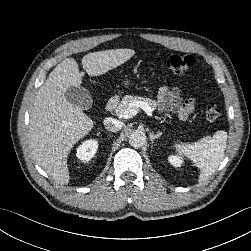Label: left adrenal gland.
I'll use <instances>...</instances> for the list:
<instances>
[{
	"mask_svg": "<svg viewBox=\"0 0 251 251\" xmlns=\"http://www.w3.org/2000/svg\"><path fill=\"white\" fill-rule=\"evenodd\" d=\"M162 135L161 132H158L157 134L150 133V139L152 143L154 142L155 139H158Z\"/></svg>",
	"mask_w": 251,
	"mask_h": 251,
	"instance_id": "a2214340",
	"label": "left adrenal gland"
}]
</instances>
